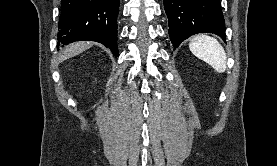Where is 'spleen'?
<instances>
[{
	"mask_svg": "<svg viewBox=\"0 0 277 166\" xmlns=\"http://www.w3.org/2000/svg\"><path fill=\"white\" fill-rule=\"evenodd\" d=\"M189 49L217 72L222 73L226 70V53L215 38L203 34L197 35L190 41Z\"/></svg>",
	"mask_w": 277,
	"mask_h": 166,
	"instance_id": "obj_1",
	"label": "spleen"
}]
</instances>
